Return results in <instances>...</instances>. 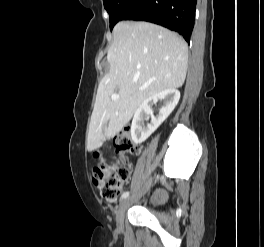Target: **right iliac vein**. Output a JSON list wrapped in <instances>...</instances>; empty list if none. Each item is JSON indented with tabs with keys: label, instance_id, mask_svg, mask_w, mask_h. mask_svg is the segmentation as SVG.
<instances>
[{
	"label": "right iliac vein",
	"instance_id": "right-iliac-vein-1",
	"mask_svg": "<svg viewBox=\"0 0 264 247\" xmlns=\"http://www.w3.org/2000/svg\"><path fill=\"white\" fill-rule=\"evenodd\" d=\"M151 185V180L147 182V184L142 188L140 192L135 194L132 197L124 199L121 203L120 206L117 210L116 214V223H117V228L119 230L123 229V222H124V215L128 207L135 201H137L150 187Z\"/></svg>",
	"mask_w": 264,
	"mask_h": 247
}]
</instances>
